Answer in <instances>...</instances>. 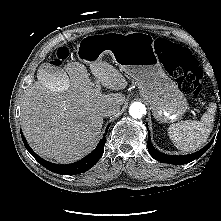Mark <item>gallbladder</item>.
Wrapping results in <instances>:
<instances>
[{
  "label": "gallbladder",
  "mask_w": 221,
  "mask_h": 221,
  "mask_svg": "<svg viewBox=\"0 0 221 221\" xmlns=\"http://www.w3.org/2000/svg\"><path fill=\"white\" fill-rule=\"evenodd\" d=\"M38 79L42 86L59 93L67 91L71 84L69 76L62 70L47 65L40 68Z\"/></svg>",
  "instance_id": "obj_1"
}]
</instances>
